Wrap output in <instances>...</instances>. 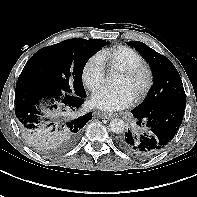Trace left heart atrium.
<instances>
[{
  "label": "left heart atrium",
  "mask_w": 197,
  "mask_h": 197,
  "mask_svg": "<svg viewBox=\"0 0 197 197\" xmlns=\"http://www.w3.org/2000/svg\"><path fill=\"white\" fill-rule=\"evenodd\" d=\"M133 93L127 87L99 89L92 97V104L104 111H118L132 104Z\"/></svg>",
  "instance_id": "left-heart-atrium-1"
}]
</instances>
